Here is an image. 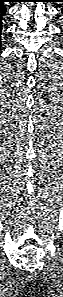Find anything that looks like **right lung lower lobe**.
I'll use <instances>...</instances> for the list:
<instances>
[{"mask_svg":"<svg viewBox=\"0 0 63 297\" xmlns=\"http://www.w3.org/2000/svg\"><path fill=\"white\" fill-rule=\"evenodd\" d=\"M4 1L5 0H0V37H1V30H2V17L5 15L6 13V8H5V5H4ZM0 44H1V41H0Z\"/></svg>","mask_w":63,"mask_h":297,"instance_id":"1","label":"right lung lower lobe"}]
</instances>
